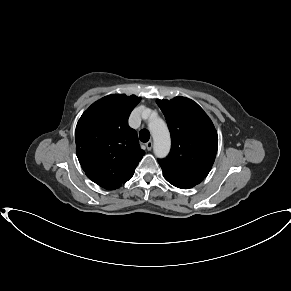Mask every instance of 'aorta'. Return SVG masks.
<instances>
[{"mask_svg": "<svg viewBox=\"0 0 291 291\" xmlns=\"http://www.w3.org/2000/svg\"><path fill=\"white\" fill-rule=\"evenodd\" d=\"M149 129L154 141V154L158 158H164L170 151V134L167 125L161 118H154L149 123Z\"/></svg>", "mask_w": 291, "mask_h": 291, "instance_id": "aorta-1", "label": "aorta"}]
</instances>
